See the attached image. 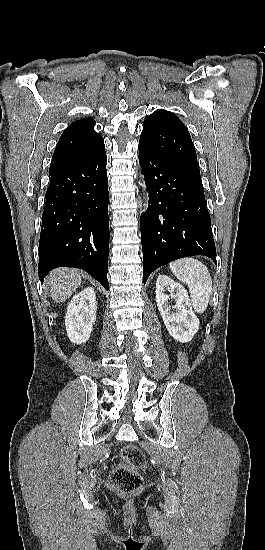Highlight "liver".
I'll return each mask as SVG.
<instances>
[{
    "label": "liver",
    "mask_w": 265,
    "mask_h": 550,
    "mask_svg": "<svg viewBox=\"0 0 265 550\" xmlns=\"http://www.w3.org/2000/svg\"><path fill=\"white\" fill-rule=\"evenodd\" d=\"M46 281L52 299L57 303L64 302L80 286L81 272L71 268H58L50 272Z\"/></svg>",
    "instance_id": "obj_1"
}]
</instances>
